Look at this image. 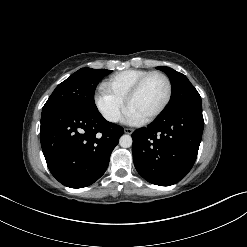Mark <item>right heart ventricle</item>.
Instances as JSON below:
<instances>
[{
    "instance_id": "e07e8e85",
    "label": "right heart ventricle",
    "mask_w": 247,
    "mask_h": 247,
    "mask_svg": "<svg viewBox=\"0 0 247 247\" xmlns=\"http://www.w3.org/2000/svg\"><path fill=\"white\" fill-rule=\"evenodd\" d=\"M149 72L150 71L142 69L125 70L109 77L104 83V86L115 96L125 101V98L131 88L137 83L138 80Z\"/></svg>"
}]
</instances>
